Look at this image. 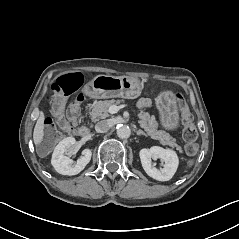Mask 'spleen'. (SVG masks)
<instances>
[{
    "label": "spleen",
    "instance_id": "obj_1",
    "mask_svg": "<svg viewBox=\"0 0 239 239\" xmlns=\"http://www.w3.org/2000/svg\"><path fill=\"white\" fill-rule=\"evenodd\" d=\"M188 165L192 166L193 165V161L192 160L188 161Z\"/></svg>",
    "mask_w": 239,
    "mask_h": 239
}]
</instances>
